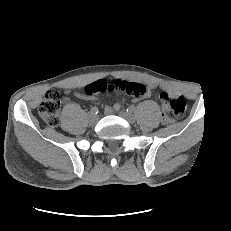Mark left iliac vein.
Returning <instances> with one entry per match:
<instances>
[{
	"label": "left iliac vein",
	"mask_w": 231,
	"mask_h": 231,
	"mask_svg": "<svg viewBox=\"0 0 231 231\" xmlns=\"http://www.w3.org/2000/svg\"><path fill=\"white\" fill-rule=\"evenodd\" d=\"M119 115L131 124L135 122V118L130 112L120 111Z\"/></svg>",
	"instance_id": "left-iliac-vein-1"
}]
</instances>
